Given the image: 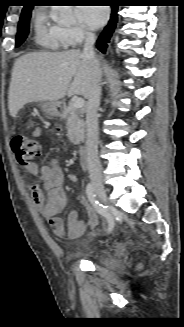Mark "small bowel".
I'll return each instance as SVG.
<instances>
[{
	"instance_id": "obj_1",
	"label": "small bowel",
	"mask_w": 184,
	"mask_h": 327,
	"mask_svg": "<svg viewBox=\"0 0 184 327\" xmlns=\"http://www.w3.org/2000/svg\"><path fill=\"white\" fill-rule=\"evenodd\" d=\"M31 134L39 137L40 128H34ZM26 172L38 176L41 180V184L35 183L31 186V197L34 205L49 221L54 234L60 237L67 235L72 239L82 236L86 223L78 218L76 212L73 211L68 215L66 223L60 216L67 208L68 198L63 188L64 173L58 162L52 159L41 168L36 163H31L26 166Z\"/></svg>"
}]
</instances>
